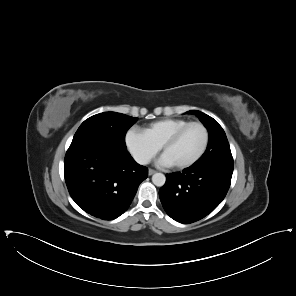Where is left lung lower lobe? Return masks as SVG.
Returning <instances> with one entry per match:
<instances>
[{
  "mask_svg": "<svg viewBox=\"0 0 296 296\" xmlns=\"http://www.w3.org/2000/svg\"><path fill=\"white\" fill-rule=\"evenodd\" d=\"M233 162L194 163L182 172L166 175L159 190L167 214L188 224L204 218L224 199L231 183Z\"/></svg>",
  "mask_w": 296,
  "mask_h": 296,
  "instance_id": "0a47b994",
  "label": "left lung lower lobe"
}]
</instances>
